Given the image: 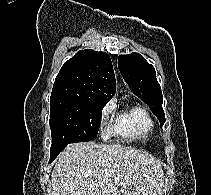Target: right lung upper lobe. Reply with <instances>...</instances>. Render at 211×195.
Wrapping results in <instances>:
<instances>
[{"instance_id":"right-lung-upper-lobe-1","label":"right lung upper lobe","mask_w":211,"mask_h":195,"mask_svg":"<svg viewBox=\"0 0 211 195\" xmlns=\"http://www.w3.org/2000/svg\"><path fill=\"white\" fill-rule=\"evenodd\" d=\"M115 91V75L108 54L86 49L64 63L51 96L107 102Z\"/></svg>"}]
</instances>
